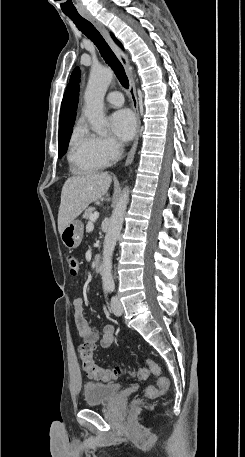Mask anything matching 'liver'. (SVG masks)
<instances>
[{
	"label": "liver",
	"instance_id": "obj_1",
	"mask_svg": "<svg viewBox=\"0 0 245 457\" xmlns=\"http://www.w3.org/2000/svg\"><path fill=\"white\" fill-rule=\"evenodd\" d=\"M111 180L112 176L108 172H91L67 178L63 184L58 212L60 235L65 226L79 216L90 202L107 194Z\"/></svg>",
	"mask_w": 245,
	"mask_h": 457
}]
</instances>
